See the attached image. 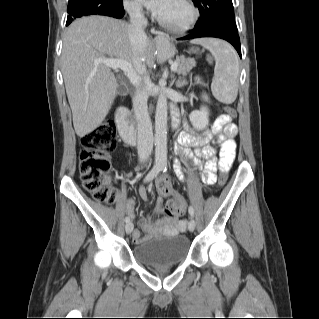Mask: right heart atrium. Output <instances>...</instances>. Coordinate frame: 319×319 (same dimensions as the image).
<instances>
[{
    "mask_svg": "<svg viewBox=\"0 0 319 319\" xmlns=\"http://www.w3.org/2000/svg\"><path fill=\"white\" fill-rule=\"evenodd\" d=\"M124 4L132 13H141L142 11V7L137 0H125Z\"/></svg>",
    "mask_w": 319,
    "mask_h": 319,
    "instance_id": "d8ad5b80",
    "label": "right heart atrium"
}]
</instances>
